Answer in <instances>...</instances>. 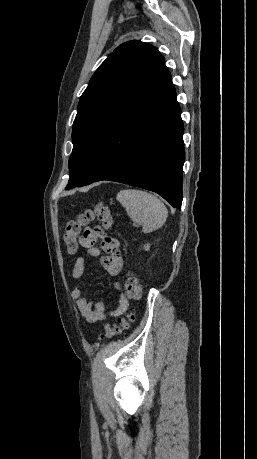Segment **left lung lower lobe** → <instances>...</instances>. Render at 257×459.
Segmentation results:
<instances>
[{
    "label": "left lung lower lobe",
    "mask_w": 257,
    "mask_h": 459,
    "mask_svg": "<svg viewBox=\"0 0 257 459\" xmlns=\"http://www.w3.org/2000/svg\"><path fill=\"white\" fill-rule=\"evenodd\" d=\"M183 131L176 92L163 64L116 125L108 157L93 182L109 180L151 190L181 208Z\"/></svg>",
    "instance_id": "obj_1"
}]
</instances>
